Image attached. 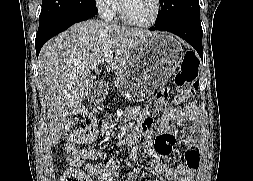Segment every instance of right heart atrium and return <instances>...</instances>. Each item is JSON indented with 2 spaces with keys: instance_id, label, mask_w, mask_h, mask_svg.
<instances>
[{
  "instance_id": "1",
  "label": "right heart atrium",
  "mask_w": 253,
  "mask_h": 181,
  "mask_svg": "<svg viewBox=\"0 0 253 181\" xmlns=\"http://www.w3.org/2000/svg\"><path fill=\"white\" fill-rule=\"evenodd\" d=\"M94 7L101 18L111 20L119 10V0H93Z\"/></svg>"
}]
</instances>
